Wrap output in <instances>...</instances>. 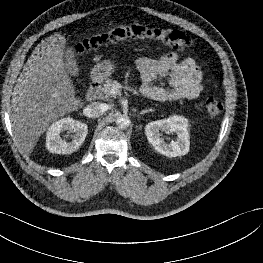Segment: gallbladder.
<instances>
[{
	"instance_id": "1",
	"label": "gallbladder",
	"mask_w": 263,
	"mask_h": 263,
	"mask_svg": "<svg viewBox=\"0 0 263 263\" xmlns=\"http://www.w3.org/2000/svg\"><path fill=\"white\" fill-rule=\"evenodd\" d=\"M66 70L70 76H78L79 68L72 48H69L64 57Z\"/></svg>"
}]
</instances>
